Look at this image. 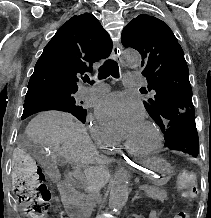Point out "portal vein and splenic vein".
Here are the masks:
<instances>
[{
  "label": "portal vein and splenic vein",
  "mask_w": 211,
  "mask_h": 218,
  "mask_svg": "<svg viewBox=\"0 0 211 218\" xmlns=\"http://www.w3.org/2000/svg\"><path fill=\"white\" fill-rule=\"evenodd\" d=\"M137 188H138L140 191H142V190L145 191V190H146L143 186H138Z\"/></svg>",
  "instance_id": "portal-vein-and-splenic-vein-1"
}]
</instances>
